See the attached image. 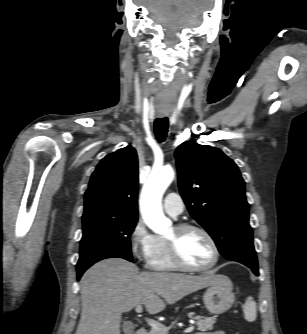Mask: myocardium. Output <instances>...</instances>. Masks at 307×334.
Listing matches in <instances>:
<instances>
[{"label":"myocardium","mask_w":307,"mask_h":334,"mask_svg":"<svg viewBox=\"0 0 307 334\" xmlns=\"http://www.w3.org/2000/svg\"><path fill=\"white\" fill-rule=\"evenodd\" d=\"M174 228L179 234L185 233L187 231H192V230L202 233L209 241L212 247V250H213V259L211 260L209 264L205 266H200V267L192 266V265H189L183 259L182 255L180 254L177 240L176 239L174 240L166 239L169 256L177 268L184 270V271H190V272H202V271H207L213 268L218 263V260L220 257V250H219L216 240L214 239V237L211 235V233L207 229H205L204 227L200 225L191 224V223L178 224Z\"/></svg>","instance_id":"myocardium-1"}]
</instances>
